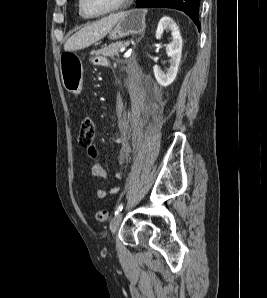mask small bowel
I'll return each instance as SVG.
<instances>
[{
    "label": "small bowel",
    "mask_w": 267,
    "mask_h": 298,
    "mask_svg": "<svg viewBox=\"0 0 267 298\" xmlns=\"http://www.w3.org/2000/svg\"><path fill=\"white\" fill-rule=\"evenodd\" d=\"M92 63L95 66H99L102 68H106V69H110L111 65L109 60L104 57V56H96L92 59ZM161 102L159 101L158 98L153 99L150 103H149V111H150V115L155 118L159 112L161 111ZM133 113H139L140 114V109L135 105L134 109H133ZM91 174L95 177H98L102 180H105L108 178V172L107 170L99 165V164H95L92 166L91 168ZM118 189L117 187H113L109 190L107 189H98L97 190V198L98 199H103L105 198L108 194H115L117 193Z\"/></svg>",
    "instance_id": "obj_1"
}]
</instances>
